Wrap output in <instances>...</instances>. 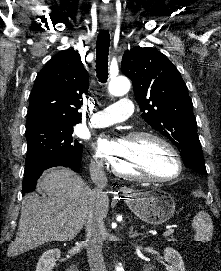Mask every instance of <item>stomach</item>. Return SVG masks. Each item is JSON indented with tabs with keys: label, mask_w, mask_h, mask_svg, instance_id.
Listing matches in <instances>:
<instances>
[{
	"label": "stomach",
	"mask_w": 221,
	"mask_h": 271,
	"mask_svg": "<svg viewBox=\"0 0 221 271\" xmlns=\"http://www.w3.org/2000/svg\"><path fill=\"white\" fill-rule=\"evenodd\" d=\"M125 201L142 221L160 225L168 221L175 211L173 197L161 187H150L149 191H137L129 189L126 193Z\"/></svg>",
	"instance_id": "stomach-1"
}]
</instances>
